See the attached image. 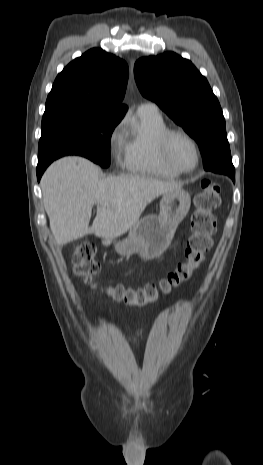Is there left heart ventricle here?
Returning a JSON list of instances; mask_svg holds the SVG:
<instances>
[{
    "label": "left heart ventricle",
    "instance_id": "left-heart-ventricle-1",
    "mask_svg": "<svg viewBox=\"0 0 263 465\" xmlns=\"http://www.w3.org/2000/svg\"><path fill=\"white\" fill-rule=\"evenodd\" d=\"M173 161L184 169L194 166L196 155L193 145L181 136L174 137L170 149Z\"/></svg>",
    "mask_w": 263,
    "mask_h": 465
}]
</instances>
